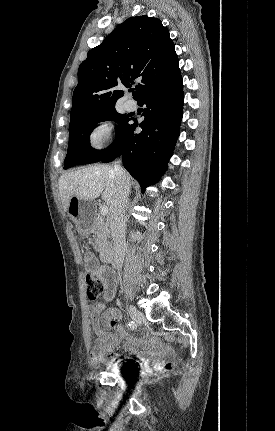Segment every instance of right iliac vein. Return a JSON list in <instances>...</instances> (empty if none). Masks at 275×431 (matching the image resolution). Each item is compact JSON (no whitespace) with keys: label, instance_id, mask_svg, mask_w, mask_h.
Returning <instances> with one entry per match:
<instances>
[{"label":"right iliac vein","instance_id":"1","mask_svg":"<svg viewBox=\"0 0 275 431\" xmlns=\"http://www.w3.org/2000/svg\"><path fill=\"white\" fill-rule=\"evenodd\" d=\"M129 314L131 318L135 321L141 317V312L135 306L129 307Z\"/></svg>","mask_w":275,"mask_h":431}]
</instances>
